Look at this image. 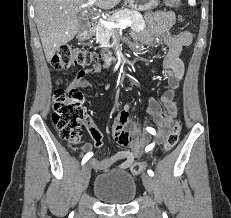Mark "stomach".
<instances>
[{"label":"stomach","instance_id":"obj_1","mask_svg":"<svg viewBox=\"0 0 231 218\" xmlns=\"http://www.w3.org/2000/svg\"><path fill=\"white\" fill-rule=\"evenodd\" d=\"M129 5L136 11H147L158 6L159 0H128Z\"/></svg>","mask_w":231,"mask_h":218}]
</instances>
